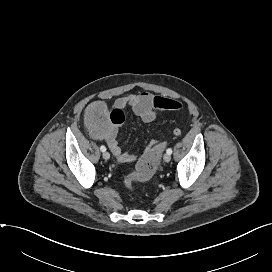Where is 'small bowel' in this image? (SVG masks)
<instances>
[{"mask_svg":"<svg viewBox=\"0 0 272 272\" xmlns=\"http://www.w3.org/2000/svg\"><path fill=\"white\" fill-rule=\"evenodd\" d=\"M116 109H125L130 107L132 111L140 117L144 122H152L156 119L159 113L164 111H176L182 108V103L178 100L155 96L148 92H140L138 94H127L116 99ZM117 128H109L102 134H94L96 139L104 140L112 152L113 156L120 162H133L136 160V155L124 152L121 150L117 142ZM182 130L180 127L173 128V134L179 136ZM156 144V141H151L149 146Z\"/></svg>","mask_w":272,"mask_h":272,"instance_id":"1","label":"small bowel"}]
</instances>
